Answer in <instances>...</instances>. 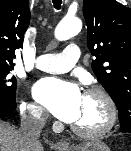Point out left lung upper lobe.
Instances as JSON below:
<instances>
[{
  "mask_svg": "<svg viewBox=\"0 0 131 151\" xmlns=\"http://www.w3.org/2000/svg\"><path fill=\"white\" fill-rule=\"evenodd\" d=\"M92 69L119 109L121 130L131 128V9L116 0H84Z\"/></svg>",
  "mask_w": 131,
  "mask_h": 151,
  "instance_id": "5c2ea615",
  "label": "left lung upper lobe"
}]
</instances>
